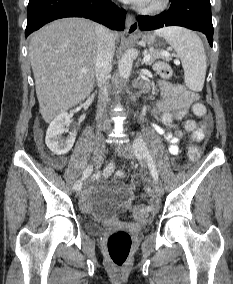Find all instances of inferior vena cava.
Wrapping results in <instances>:
<instances>
[{"label": "inferior vena cava", "mask_w": 233, "mask_h": 284, "mask_svg": "<svg viewBox=\"0 0 233 284\" xmlns=\"http://www.w3.org/2000/svg\"><path fill=\"white\" fill-rule=\"evenodd\" d=\"M97 58L95 63V75L100 85L96 119L98 127L109 129L110 122L106 114L108 92L106 81L112 70V60L115 52V38L113 33L102 25H97Z\"/></svg>", "instance_id": "1"}]
</instances>
